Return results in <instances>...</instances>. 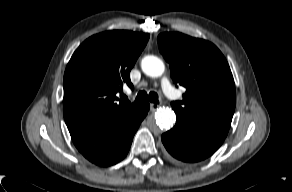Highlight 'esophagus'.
<instances>
[{"label": "esophagus", "instance_id": "1", "mask_svg": "<svg viewBox=\"0 0 292 192\" xmlns=\"http://www.w3.org/2000/svg\"><path fill=\"white\" fill-rule=\"evenodd\" d=\"M159 104H157V103H151L150 104V109H151V111H155L156 109H158L159 108Z\"/></svg>", "mask_w": 292, "mask_h": 192}]
</instances>
